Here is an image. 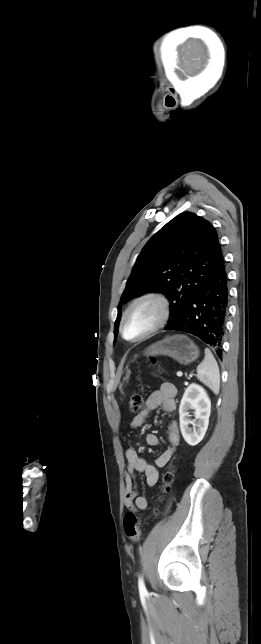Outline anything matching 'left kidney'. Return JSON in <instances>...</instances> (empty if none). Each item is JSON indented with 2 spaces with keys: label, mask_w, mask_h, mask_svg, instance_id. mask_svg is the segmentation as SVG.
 Wrapping results in <instances>:
<instances>
[{
  "label": "left kidney",
  "mask_w": 261,
  "mask_h": 644,
  "mask_svg": "<svg viewBox=\"0 0 261 644\" xmlns=\"http://www.w3.org/2000/svg\"><path fill=\"white\" fill-rule=\"evenodd\" d=\"M190 409L194 410L195 421H191L189 418ZM210 412L211 401L204 388L195 383L190 384L186 388L179 406L180 430L189 445L195 446L204 438ZM189 424H192L193 428H190Z\"/></svg>",
  "instance_id": "1"
}]
</instances>
